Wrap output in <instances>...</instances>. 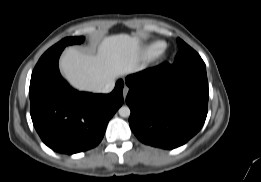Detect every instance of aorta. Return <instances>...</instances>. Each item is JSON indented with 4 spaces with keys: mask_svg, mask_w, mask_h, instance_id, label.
<instances>
[{
    "mask_svg": "<svg viewBox=\"0 0 261 182\" xmlns=\"http://www.w3.org/2000/svg\"><path fill=\"white\" fill-rule=\"evenodd\" d=\"M118 112H119V115H120L121 117H124V118L129 117V116H130V113H131L130 108H129L128 106H122V107L118 110Z\"/></svg>",
    "mask_w": 261,
    "mask_h": 182,
    "instance_id": "obj_1",
    "label": "aorta"
}]
</instances>
